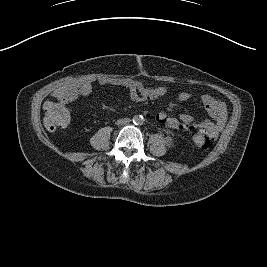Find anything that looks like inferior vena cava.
<instances>
[{"label":"inferior vena cava","mask_w":267,"mask_h":267,"mask_svg":"<svg viewBox=\"0 0 267 267\" xmlns=\"http://www.w3.org/2000/svg\"><path fill=\"white\" fill-rule=\"evenodd\" d=\"M124 122L127 123V122H129V120L127 119V120H125Z\"/></svg>","instance_id":"1"}]
</instances>
